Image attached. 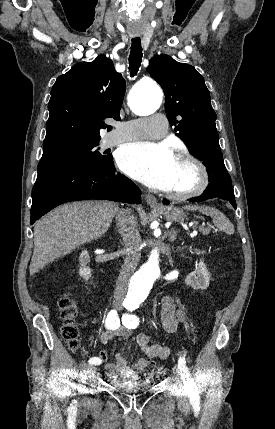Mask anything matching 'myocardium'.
<instances>
[{
    "instance_id": "myocardium-1",
    "label": "myocardium",
    "mask_w": 275,
    "mask_h": 429,
    "mask_svg": "<svg viewBox=\"0 0 275 429\" xmlns=\"http://www.w3.org/2000/svg\"><path fill=\"white\" fill-rule=\"evenodd\" d=\"M179 160L188 162L190 164H192L197 173H198V181L196 183V185L188 190V191H184V192H170L167 191L166 195L174 200H188L191 198H195L200 196L201 194H203L205 192V190L207 189L208 185H209V173L208 170L206 168V166L204 165V163L197 158L196 156H194L193 154L189 153V152H181L178 154L177 157Z\"/></svg>"
}]
</instances>
